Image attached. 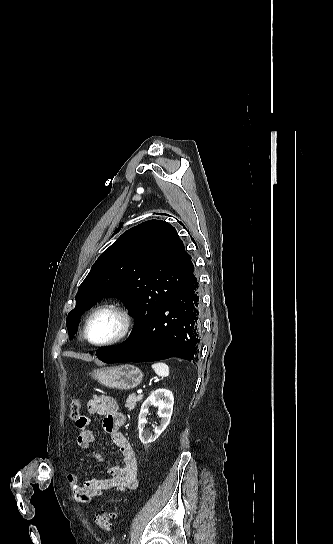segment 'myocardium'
I'll return each mask as SVG.
<instances>
[{
	"mask_svg": "<svg viewBox=\"0 0 333 544\" xmlns=\"http://www.w3.org/2000/svg\"><path fill=\"white\" fill-rule=\"evenodd\" d=\"M106 310L112 311L116 315H118V317L120 318V321H121L120 330L113 338H111V339H109L107 341L94 342L89 338V335H88L89 325H90L92 319L98 313H100L102 311H106ZM133 322H134L133 321V316L130 313L129 309L124 304H122L121 302L116 301V300H108V301H105V302L97 305L90 312V314L86 318V321H85V324H84L83 336H84V339L89 344H91L93 346H96V347L112 346V345H115V344L121 342L122 340H124L130 334V332H131V330L133 328Z\"/></svg>",
	"mask_w": 333,
	"mask_h": 544,
	"instance_id": "1",
	"label": "myocardium"
}]
</instances>
